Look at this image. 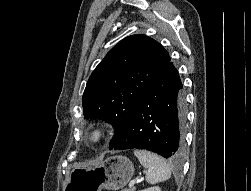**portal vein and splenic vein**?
I'll list each match as a JSON object with an SVG mask.
<instances>
[{
  "instance_id": "18ae733b",
  "label": "portal vein and splenic vein",
  "mask_w": 251,
  "mask_h": 191,
  "mask_svg": "<svg viewBox=\"0 0 251 191\" xmlns=\"http://www.w3.org/2000/svg\"><path fill=\"white\" fill-rule=\"evenodd\" d=\"M136 181H142V179H132V181H130L129 186L133 187L134 183H136Z\"/></svg>"
}]
</instances>
